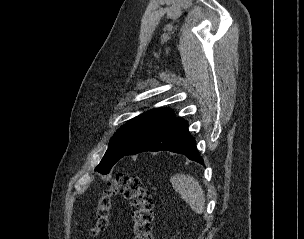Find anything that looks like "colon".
Returning <instances> with one entry per match:
<instances>
[{
  "mask_svg": "<svg viewBox=\"0 0 304 239\" xmlns=\"http://www.w3.org/2000/svg\"><path fill=\"white\" fill-rule=\"evenodd\" d=\"M122 195L131 208L132 230L135 239H152L153 200L140 177L119 173L102 192L96 204V224L91 233L98 235L110 225L111 198Z\"/></svg>",
  "mask_w": 304,
  "mask_h": 239,
  "instance_id": "colon-1",
  "label": "colon"
}]
</instances>
